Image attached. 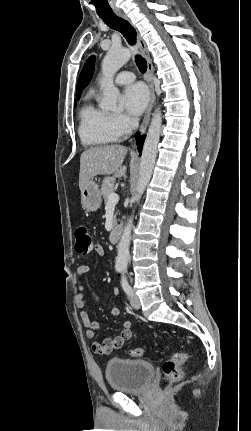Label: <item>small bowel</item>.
Here are the masks:
<instances>
[{
	"label": "small bowel",
	"instance_id": "obj_1",
	"mask_svg": "<svg viewBox=\"0 0 251 431\" xmlns=\"http://www.w3.org/2000/svg\"><path fill=\"white\" fill-rule=\"evenodd\" d=\"M95 250L99 255H104L105 250L101 245H96ZM91 267L89 265H80L76 270L77 275V291L75 304L76 307L80 311L81 321L86 329V335L88 338L92 339L95 337L98 322L90 317L88 312L85 310V301H84V279L90 272ZM115 296L118 295V290L114 289ZM110 313L112 316H118L120 313V309L117 304V299L115 298L111 304ZM132 324L130 321L125 320L122 323V331L119 335L113 338H106L102 342L94 341L92 343V350L97 354H109L116 349H120L123 347L125 342L129 340L132 336L131 331Z\"/></svg>",
	"mask_w": 251,
	"mask_h": 431
}]
</instances>
